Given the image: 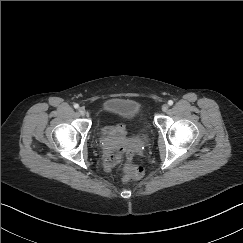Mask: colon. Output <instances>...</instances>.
<instances>
[{"label":"colon","instance_id":"1","mask_svg":"<svg viewBox=\"0 0 243 243\" xmlns=\"http://www.w3.org/2000/svg\"><path fill=\"white\" fill-rule=\"evenodd\" d=\"M118 157L121 159V169L125 175V180H137L143 177V169L131 164L125 153H119Z\"/></svg>","mask_w":243,"mask_h":243}]
</instances>
